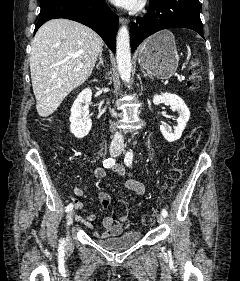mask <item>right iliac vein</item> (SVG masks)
<instances>
[{"label": "right iliac vein", "mask_w": 240, "mask_h": 281, "mask_svg": "<svg viewBox=\"0 0 240 281\" xmlns=\"http://www.w3.org/2000/svg\"><path fill=\"white\" fill-rule=\"evenodd\" d=\"M118 152H119V148L116 147V146H111L110 149H109V153L112 156H115ZM74 215H75V211L74 210L69 211V213L67 214V222H66L67 223V228L72 223ZM66 243H67L68 246L72 245V240H71V237L68 234V232H67V236H66Z\"/></svg>", "instance_id": "obj_1"}]
</instances>
